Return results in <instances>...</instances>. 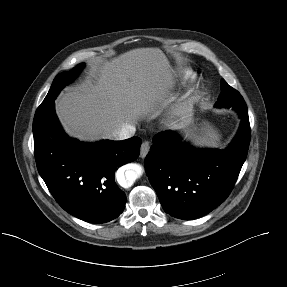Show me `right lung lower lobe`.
<instances>
[{
	"label": "right lung lower lobe",
	"mask_w": 287,
	"mask_h": 287,
	"mask_svg": "<svg viewBox=\"0 0 287 287\" xmlns=\"http://www.w3.org/2000/svg\"><path fill=\"white\" fill-rule=\"evenodd\" d=\"M33 135L39 174L65 211L91 223L109 222L123 212L126 195L114 174L137 159L139 137L94 144L72 140L55 115L54 99L37 108Z\"/></svg>",
	"instance_id": "right-lung-lower-lobe-1"
}]
</instances>
